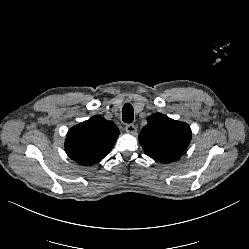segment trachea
<instances>
[{
  "instance_id": "1",
  "label": "trachea",
  "mask_w": 249,
  "mask_h": 249,
  "mask_svg": "<svg viewBox=\"0 0 249 249\" xmlns=\"http://www.w3.org/2000/svg\"><path fill=\"white\" fill-rule=\"evenodd\" d=\"M134 109L131 104H125L122 109V119L125 123H131L133 121Z\"/></svg>"
}]
</instances>
